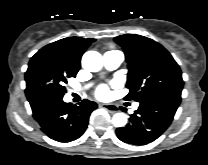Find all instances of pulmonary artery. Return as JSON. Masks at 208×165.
<instances>
[{"mask_svg":"<svg viewBox=\"0 0 208 165\" xmlns=\"http://www.w3.org/2000/svg\"><path fill=\"white\" fill-rule=\"evenodd\" d=\"M104 65L109 70L118 68L123 62V54L119 51H108L103 56ZM138 103H134L133 108L137 109Z\"/></svg>","mask_w":208,"mask_h":165,"instance_id":"e3ab8cb5","label":"pulmonary artery"}]
</instances>
